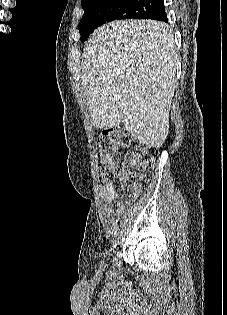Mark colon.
Segmentation results:
<instances>
[{
  "label": "colon",
  "instance_id": "5ec220e1",
  "mask_svg": "<svg viewBox=\"0 0 227 315\" xmlns=\"http://www.w3.org/2000/svg\"><path fill=\"white\" fill-rule=\"evenodd\" d=\"M97 144L101 152V158L97 164L98 180L101 183H110L115 178L121 148L129 150L121 168L127 180L139 183L154 168L156 148L138 142L120 125L105 129L99 135ZM135 187L138 185L136 184Z\"/></svg>",
  "mask_w": 227,
  "mask_h": 315
}]
</instances>
